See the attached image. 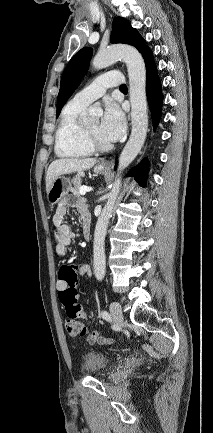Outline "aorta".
<instances>
[{"instance_id":"obj_1","label":"aorta","mask_w":213,"mask_h":433,"mask_svg":"<svg viewBox=\"0 0 213 433\" xmlns=\"http://www.w3.org/2000/svg\"><path fill=\"white\" fill-rule=\"evenodd\" d=\"M119 59L126 63L128 70L132 131L119 158L117 178L112 185L111 191L108 194V200L95 227L93 266L94 274L98 281H102L105 276L106 258L104 240L108 223L120 191L121 175L140 152L146 139L148 129L146 69L142 55L135 48L130 46H111L97 53L92 61V66L99 70L115 63ZM99 111V108L91 107L85 119L96 116Z\"/></svg>"}]
</instances>
